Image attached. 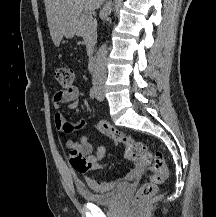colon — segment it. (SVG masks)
Instances as JSON below:
<instances>
[{
    "mask_svg": "<svg viewBox=\"0 0 216 217\" xmlns=\"http://www.w3.org/2000/svg\"><path fill=\"white\" fill-rule=\"evenodd\" d=\"M54 75L60 86L65 89L72 87L74 74L70 68L57 67ZM96 125L113 142L125 147L127 160L152 171L150 180L139 188L134 197L136 204L144 203L156 193L158 185L165 182L169 176L163 154L159 151H151L145 143L132 139L104 121H99ZM69 161L72 167L80 173L102 167L94 164L90 157L77 150L69 152Z\"/></svg>",
    "mask_w": 216,
    "mask_h": 217,
    "instance_id": "colon-1",
    "label": "colon"
}]
</instances>
